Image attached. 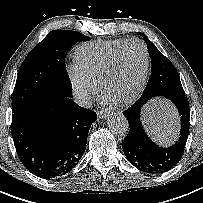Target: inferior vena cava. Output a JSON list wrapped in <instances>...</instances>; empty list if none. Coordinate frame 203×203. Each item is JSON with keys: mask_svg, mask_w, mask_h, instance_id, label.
<instances>
[{"mask_svg": "<svg viewBox=\"0 0 203 203\" xmlns=\"http://www.w3.org/2000/svg\"><path fill=\"white\" fill-rule=\"evenodd\" d=\"M74 101L83 107H90L92 105L91 96L86 91H77L73 94Z\"/></svg>", "mask_w": 203, "mask_h": 203, "instance_id": "1", "label": "inferior vena cava"}]
</instances>
